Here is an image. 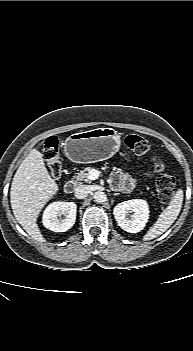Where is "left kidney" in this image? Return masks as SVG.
<instances>
[{"label": "left kidney", "mask_w": 193, "mask_h": 351, "mask_svg": "<svg viewBox=\"0 0 193 351\" xmlns=\"http://www.w3.org/2000/svg\"><path fill=\"white\" fill-rule=\"evenodd\" d=\"M149 212L148 203L142 199L121 202L113 210L117 224L129 233H138L144 229L149 219ZM130 213L133 214L129 218Z\"/></svg>", "instance_id": "obj_1"}]
</instances>
